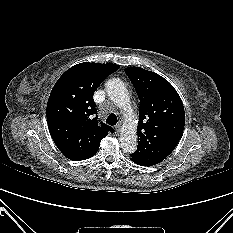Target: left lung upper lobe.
<instances>
[{
    "label": "left lung upper lobe",
    "mask_w": 233,
    "mask_h": 233,
    "mask_svg": "<svg viewBox=\"0 0 233 233\" xmlns=\"http://www.w3.org/2000/svg\"><path fill=\"white\" fill-rule=\"evenodd\" d=\"M125 73L140 100L138 146L130 156L144 166H152L163 161L182 136L183 103L175 88L162 76L140 67H127Z\"/></svg>",
    "instance_id": "5c2ea615"
}]
</instances>
